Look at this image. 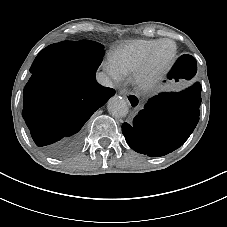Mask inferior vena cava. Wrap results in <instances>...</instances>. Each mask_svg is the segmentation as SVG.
Returning <instances> with one entry per match:
<instances>
[{"instance_id":"602c4592","label":"inferior vena cava","mask_w":227,"mask_h":227,"mask_svg":"<svg viewBox=\"0 0 227 227\" xmlns=\"http://www.w3.org/2000/svg\"><path fill=\"white\" fill-rule=\"evenodd\" d=\"M96 80L99 84L106 87H113V82L111 79L103 72H99L96 74Z\"/></svg>"}]
</instances>
